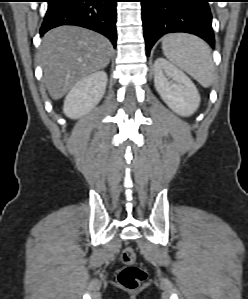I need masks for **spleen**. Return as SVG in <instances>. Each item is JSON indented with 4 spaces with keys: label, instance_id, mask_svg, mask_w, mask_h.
<instances>
[{
    "label": "spleen",
    "instance_id": "spleen-1",
    "mask_svg": "<svg viewBox=\"0 0 248 299\" xmlns=\"http://www.w3.org/2000/svg\"><path fill=\"white\" fill-rule=\"evenodd\" d=\"M166 58L184 70L203 87H209L215 76L214 63L208 44L202 39L185 33L168 34L162 39Z\"/></svg>",
    "mask_w": 248,
    "mask_h": 299
}]
</instances>
